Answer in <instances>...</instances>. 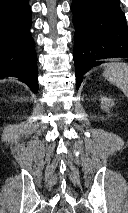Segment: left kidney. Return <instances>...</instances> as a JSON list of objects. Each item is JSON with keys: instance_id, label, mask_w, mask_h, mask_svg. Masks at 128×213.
Returning <instances> with one entry per match:
<instances>
[{"instance_id": "5707ae66", "label": "left kidney", "mask_w": 128, "mask_h": 213, "mask_svg": "<svg viewBox=\"0 0 128 213\" xmlns=\"http://www.w3.org/2000/svg\"><path fill=\"white\" fill-rule=\"evenodd\" d=\"M101 108L104 109L105 111H109V108L114 106V101L111 98L108 97H101Z\"/></svg>"}]
</instances>
